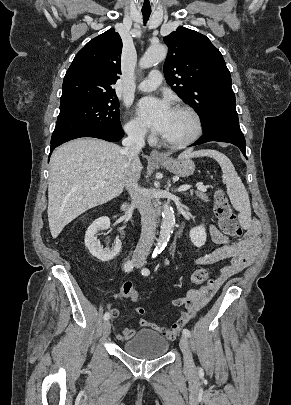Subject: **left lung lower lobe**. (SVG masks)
<instances>
[{
    "instance_id": "obj_1",
    "label": "left lung lower lobe",
    "mask_w": 291,
    "mask_h": 405,
    "mask_svg": "<svg viewBox=\"0 0 291 405\" xmlns=\"http://www.w3.org/2000/svg\"><path fill=\"white\" fill-rule=\"evenodd\" d=\"M210 141L228 142L236 145L246 157V141L240 129L239 122L223 121L217 123L211 130L206 132L192 146ZM247 158V157H246Z\"/></svg>"
}]
</instances>
